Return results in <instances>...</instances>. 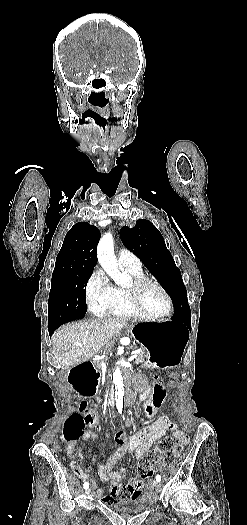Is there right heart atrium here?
Instances as JSON below:
<instances>
[{
	"label": "right heart atrium",
	"instance_id": "right-heart-atrium-1",
	"mask_svg": "<svg viewBox=\"0 0 247 525\" xmlns=\"http://www.w3.org/2000/svg\"><path fill=\"white\" fill-rule=\"evenodd\" d=\"M115 290L104 271L96 267L85 284V300L88 310L95 316H102L114 303Z\"/></svg>",
	"mask_w": 247,
	"mask_h": 525
}]
</instances>
